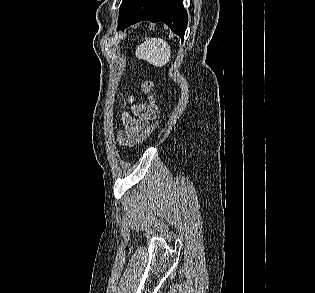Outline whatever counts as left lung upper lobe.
<instances>
[{"mask_svg":"<svg viewBox=\"0 0 315 293\" xmlns=\"http://www.w3.org/2000/svg\"><path fill=\"white\" fill-rule=\"evenodd\" d=\"M139 1L140 0H123L119 10L118 21L124 18Z\"/></svg>","mask_w":315,"mask_h":293,"instance_id":"obj_1","label":"left lung upper lobe"}]
</instances>
